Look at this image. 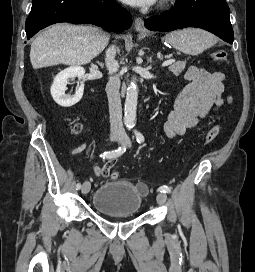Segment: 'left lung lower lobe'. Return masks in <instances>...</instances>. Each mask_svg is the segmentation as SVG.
Masks as SVG:
<instances>
[{"label": "left lung lower lobe", "mask_w": 255, "mask_h": 272, "mask_svg": "<svg viewBox=\"0 0 255 272\" xmlns=\"http://www.w3.org/2000/svg\"><path fill=\"white\" fill-rule=\"evenodd\" d=\"M229 13L225 0H176L170 11L146 19L145 27L151 31L198 27L232 44L234 36Z\"/></svg>", "instance_id": "1"}]
</instances>
